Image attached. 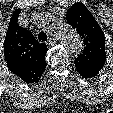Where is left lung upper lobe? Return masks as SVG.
Wrapping results in <instances>:
<instances>
[{"instance_id":"left-lung-upper-lobe-1","label":"left lung upper lobe","mask_w":113,"mask_h":113,"mask_svg":"<svg viewBox=\"0 0 113 113\" xmlns=\"http://www.w3.org/2000/svg\"><path fill=\"white\" fill-rule=\"evenodd\" d=\"M67 22L82 37L84 50L75 64L100 71L106 61L105 37L97 21L82 3H76L67 11Z\"/></svg>"}]
</instances>
